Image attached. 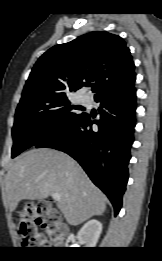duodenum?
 Segmentation results:
<instances>
[{
    "label": "duodenum",
    "mask_w": 162,
    "mask_h": 261,
    "mask_svg": "<svg viewBox=\"0 0 162 261\" xmlns=\"http://www.w3.org/2000/svg\"><path fill=\"white\" fill-rule=\"evenodd\" d=\"M63 235H64V236H69V233H66V232L62 231V236H63ZM62 236H61V237H62Z\"/></svg>",
    "instance_id": "410a0bca"
}]
</instances>
